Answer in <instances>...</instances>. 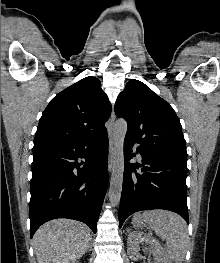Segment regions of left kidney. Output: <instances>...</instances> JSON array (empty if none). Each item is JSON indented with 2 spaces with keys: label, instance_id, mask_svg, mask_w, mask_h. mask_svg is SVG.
I'll return each mask as SVG.
<instances>
[{
  "label": "left kidney",
  "instance_id": "obj_1",
  "mask_svg": "<svg viewBox=\"0 0 220 263\" xmlns=\"http://www.w3.org/2000/svg\"><path fill=\"white\" fill-rule=\"evenodd\" d=\"M141 243L149 245L150 251L157 263H172L159 242L151 236L136 231L131 232L127 239V253L132 260H139L141 258L139 253Z\"/></svg>",
  "mask_w": 220,
  "mask_h": 263
}]
</instances>
